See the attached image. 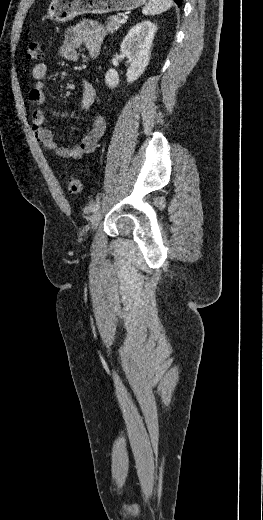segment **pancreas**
<instances>
[{"instance_id": "pancreas-1", "label": "pancreas", "mask_w": 263, "mask_h": 520, "mask_svg": "<svg viewBox=\"0 0 263 520\" xmlns=\"http://www.w3.org/2000/svg\"><path fill=\"white\" fill-rule=\"evenodd\" d=\"M119 20L120 18L115 15L108 18V21L106 22V29L109 33H113L120 28L121 23H119Z\"/></svg>"}]
</instances>
